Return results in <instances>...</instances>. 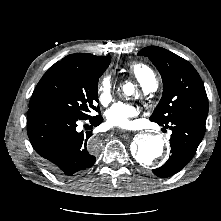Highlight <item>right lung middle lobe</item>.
Masks as SVG:
<instances>
[{
	"label": "right lung middle lobe",
	"instance_id": "dd1d6c3e",
	"mask_svg": "<svg viewBox=\"0 0 221 221\" xmlns=\"http://www.w3.org/2000/svg\"><path fill=\"white\" fill-rule=\"evenodd\" d=\"M108 61L99 66L83 67L65 61L51 66L37 84L29 108L64 112L77 118H92L99 112L98 79L107 69Z\"/></svg>",
	"mask_w": 221,
	"mask_h": 221
}]
</instances>
